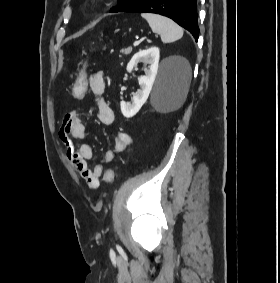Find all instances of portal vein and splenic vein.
<instances>
[{
    "label": "portal vein and splenic vein",
    "instance_id": "1",
    "mask_svg": "<svg viewBox=\"0 0 280 283\" xmlns=\"http://www.w3.org/2000/svg\"><path fill=\"white\" fill-rule=\"evenodd\" d=\"M139 44H140L139 41H135L133 45H134V46H138Z\"/></svg>",
    "mask_w": 280,
    "mask_h": 283
}]
</instances>
